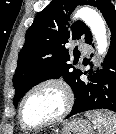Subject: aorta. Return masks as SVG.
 I'll list each match as a JSON object with an SVG mask.
<instances>
[{"instance_id": "obj_1", "label": "aorta", "mask_w": 116, "mask_h": 134, "mask_svg": "<svg viewBox=\"0 0 116 134\" xmlns=\"http://www.w3.org/2000/svg\"><path fill=\"white\" fill-rule=\"evenodd\" d=\"M76 18H81L91 29L100 55L105 54L108 47L106 26L103 18L95 10L83 7L77 11Z\"/></svg>"}]
</instances>
